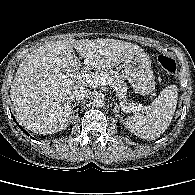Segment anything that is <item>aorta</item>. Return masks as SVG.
<instances>
[{"label":"aorta","mask_w":195,"mask_h":195,"mask_svg":"<svg viewBox=\"0 0 195 195\" xmlns=\"http://www.w3.org/2000/svg\"><path fill=\"white\" fill-rule=\"evenodd\" d=\"M93 106L96 108L104 106V100L101 97H96L93 100Z\"/></svg>","instance_id":"aorta-1"}]
</instances>
